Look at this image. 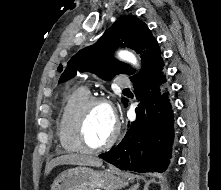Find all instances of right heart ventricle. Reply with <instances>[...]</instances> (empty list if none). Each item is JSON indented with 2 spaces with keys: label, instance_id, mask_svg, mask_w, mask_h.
<instances>
[{
  "label": "right heart ventricle",
  "instance_id": "obj_1",
  "mask_svg": "<svg viewBox=\"0 0 221 190\" xmlns=\"http://www.w3.org/2000/svg\"><path fill=\"white\" fill-rule=\"evenodd\" d=\"M88 98L89 92L86 88L75 89L66 97L60 109L57 119V136L61 148L67 153L79 151L71 134V123L78 107Z\"/></svg>",
  "mask_w": 221,
  "mask_h": 190
}]
</instances>
